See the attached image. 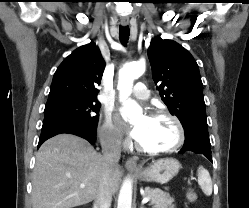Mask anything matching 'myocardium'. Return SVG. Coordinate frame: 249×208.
<instances>
[{"mask_svg": "<svg viewBox=\"0 0 249 208\" xmlns=\"http://www.w3.org/2000/svg\"><path fill=\"white\" fill-rule=\"evenodd\" d=\"M150 116L151 117H166L172 120L177 127L178 139L176 143L172 145L171 147L162 148V149H148V148L141 146L138 142H136V149L142 153L149 154V155L167 154V153H172L176 151L177 149H179L185 141V129H184V126L181 120L177 116L172 114L171 112L167 110H163V109L153 110L150 113Z\"/></svg>", "mask_w": 249, "mask_h": 208, "instance_id": "obj_1", "label": "myocardium"}]
</instances>
